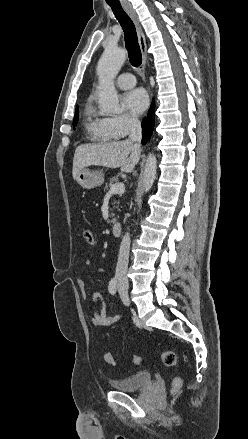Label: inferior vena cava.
Masks as SVG:
<instances>
[{
  "label": "inferior vena cava",
  "instance_id": "inferior-vena-cava-1",
  "mask_svg": "<svg viewBox=\"0 0 248 439\" xmlns=\"http://www.w3.org/2000/svg\"><path fill=\"white\" fill-rule=\"evenodd\" d=\"M141 139H142V129H141V123L137 118H131L130 119V133L128 140L132 143H134V147L136 149L140 150L141 146ZM129 253H130V235L129 233H126L125 236L122 239L119 255H118V262L116 267V279L118 282V285L122 286H128V278H127V269H128V262H129Z\"/></svg>",
  "mask_w": 248,
  "mask_h": 439
}]
</instances>
